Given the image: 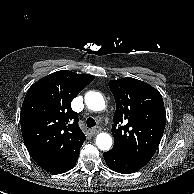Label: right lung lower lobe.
<instances>
[{
	"label": "right lung lower lobe",
	"mask_w": 194,
	"mask_h": 194,
	"mask_svg": "<svg viewBox=\"0 0 194 194\" xmlns=\"http://www.w3.org/2000/svg\"><path fill=\"white\" fill-rule=\"evenodd\" d=\"M78 159V158H77ZM77 159L75 160V161H73L63 172H61V173H64V172H67V171H69L70 169H72L74 166H75V164H76V161H77Z\"/></svg>",
	"instance_id": "98d812e1"
}]
</instances>
